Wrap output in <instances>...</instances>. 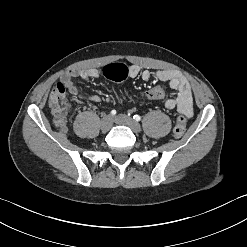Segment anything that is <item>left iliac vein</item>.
Instances as JSON below:
<instances>
[{"label": "left iliac vein", "mask_w": 247, "mask_h": 247, "mask_svg": "<svg viewBox=\"0 0 247 247\" xmlns=\"http://www.w3.org/2000/svg\"><path fill=\"white\" fill-rule=\"evenodd\" d=\"M114 121L119 125H124L129 127L134 133H139L141 131L140 124L135 120H133L131 117H128L124 114L117 115L114 118Z\"/></svg>", "instance_id": "4c4485c4"}]
</instances>
